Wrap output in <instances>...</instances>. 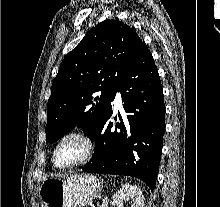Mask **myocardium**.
Masks as SVG:
<instances>
[{
    "instance_id": "obj_1",
    "label": "myocardium",
    "mask_w": 220,
    "mask_h": 207,
    "mask_svg": "<svg viewBox=\"0 0 220 207\" xmlns=\"http://www.w3.org/2000/svg\"><path fill=\"white\" fill-rule=\"evenodd\" d=\"M69 139H75L81 142L83 145V153L77 160L68 164L59 165L56 161L57 151L59 147ZM94 150H95V142L89 134L79 129L69 130L64 134H62L56 141L52 150V163L57 169H61V170L70 169L88 161L93 155Z\"/></svg>"
}]
</instances>
